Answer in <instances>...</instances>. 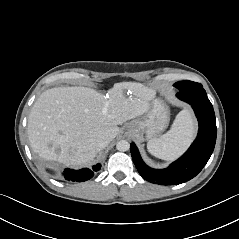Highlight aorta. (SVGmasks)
Segmentation results:
<instances>
[{
    "label": "aorta",
    "mask_w": 239,
    "mask_h": 239,
    "mask_svg": "<svg viewBox=\"0 0 239 239\" xmlns=\"http://www.w3.org/2000/svg\"><path fill=\"white\" fill-rule=\"evenodd\" d=\"M116 148L118 151L125 152V151L129 150L130 144L126 140H121L117 143Z\"/></svg>",
    "instance_id": "obj_1"
}]
</instances>
